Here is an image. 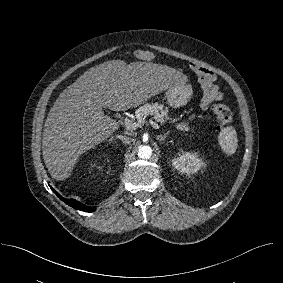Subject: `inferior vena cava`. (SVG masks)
<instances>
[{"mask_svg":"<svg viewBox=\"0 0 283 283\" xmlns=\"http://www.w3.org/2000/svg\"><path fill=\"white\" fill-rule=\"evenodd\" d=\"M120 140H122L123 143L125 144H130L131 143V139L127 136H122V135H119L117 136Z\"/></svg>","mask_w":283,"mask_h":283,"instance_id":"602c4592","label":"inferior vena cava"}]
</instances>
